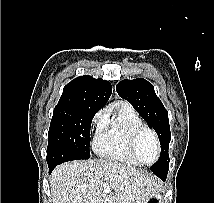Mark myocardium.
<instances>
[{"mask_svg":"<svg viewBox=\"0 0 214 203\" xmlns=\"http://www.w3.org/2000/svg\"><path fill=\"white\" fill-rule=\"evenodd\" d=\"M149 133L153 140H154V143H155V146H156V158L154 161L150 162V163H147V162H144L140 156H139V153H138V150H137V145H138V141H139V138L140 136L143 134V133ZM129 150L132 154V156L141 164V165H153L155 164L159 158H160V155H161V146H160V141H159V138H158V135L156 134V132L147 127V126H141V127H138L136 128L131 136H130V139H129Z\"/></svg>","mask_w":214,"mask_h":203,"instance_id":"f54148a6","label":"myocardium"}]
</instances>
